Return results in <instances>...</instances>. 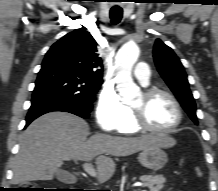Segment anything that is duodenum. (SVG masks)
Returning a JSON list of instances; mask_svg holds the SVG:
<instances>
[{"instance_id": "duodenum-1", "label": "duodenum", "mask_w": 218, "mask_h": 191, "mask_svg": "<svg viewBox=\"0 0 218 191\" xmlns=\"http://www.w3.org/2000/svg\"><path fill=\"white\" fill-rule=\"evenodd\" d=\"M71 191H82V190H80V188H74Z\"/></svg>"}]
</instances>
